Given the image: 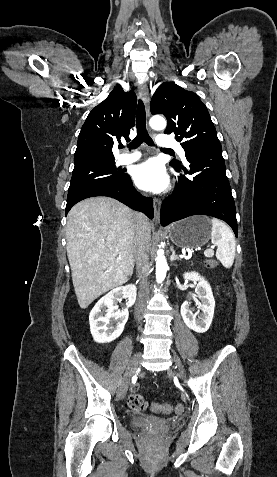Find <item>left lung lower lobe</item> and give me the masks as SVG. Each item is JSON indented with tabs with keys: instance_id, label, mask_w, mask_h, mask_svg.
Returning <instances> with one entry per match:
<instances>
[{
	"instance_id": "left-lung-lower-lobe-1",
	"label": "left lung lower lobe",
	"mask_w": 277,
	"mask_h": 477,
	"mask_svg": "<svg viewBox=\"0 0 277 477\" xmlns=\"http://www.w3.org/2000/svg\"><path fill=\"white\" fill-rule=\"evenodd\" d=\"M190 169L171 165L176 171L194 174L192 179L178 176L176 187L164 200L160 219L163 226L188 216L202 214L224 220L236 237L238 227L231 187L225 172L221 148H204L185 152Z\"/></svg>"
}]
</instances>
